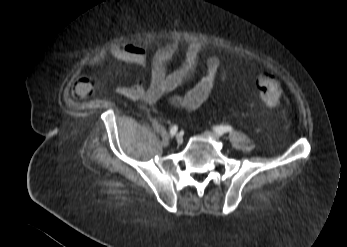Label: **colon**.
Instances as JSON below:
<instances>
[{
	"instance_id": "colon-1",
	"label": "colon",
	"mask_w": 347,
	"mask_h": 247,
	"mask_svg": "<svg viewBox=\"0 0 347 247\" xmlns=\"http://www.w3.org/2000/svg\"><path fill=\"white\" fill-rule=\"evenodd\" d=\"M280 83L272 74H263L257 79V92L262 102L274 107L280 101Z\"/></svg>"
}]
</instances>
